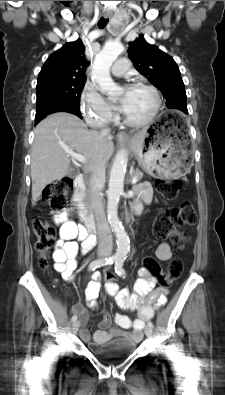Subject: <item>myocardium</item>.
Returning a JSON list of instances; mask_svg holds the SVG:
<instances>
[{"mask_svg":"<svg viewBox=\"0 0 225 395\" xmlns=\"http://www.w3.org/2000/svg\"><path fill=\"white\" fill-rule=\"evenodd\" d=\"M135 88H143V89L148 90L153 96L154 104H153L150 114L145 119L139 120V121H133V120L128 119L125 116L124 123L128 126H131V127H143V126L150 124L157 116L160 106H161V97H160L158 90L151 84H148L145 82H138L135 84Z\"/></svg>","mask_w":225,"mask_h":395,"instance_id":"1","label":"myocardium"}]
</instances>
